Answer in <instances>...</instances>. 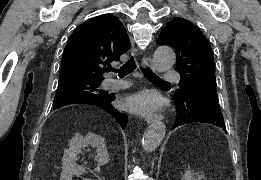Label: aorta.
I'll list each match as a JSON object with an SVG mask.
<instances>
[{
	"instance_id": "762f6f07",
	"label": "aorta",
	"mask_w": 261,
	"mask_h": 180,
	"mask_svg": "<svg viewBox=\"0 0 261 180\" xmlns=\"http://www.w3.org/2000/svg\"><path fill=\"white\" fill-rule=\"evenodd\" d=\"M176 61L174 51L168 46H160L153 55V65L159 72L171 69ZM166 133L163 122L151 124L145 131L142 139V147L147 152L154 151L162 142Z\"/></svg>"
}]
</instances>
